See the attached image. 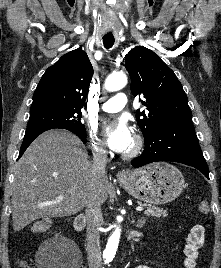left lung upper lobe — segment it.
<instances>
[{
    "mask_svg": "<svg viewBox=\"0 0 221 268\" xmlns=\"http://www.w3.org/2000/svg\"><path fill=\"white\" fill-rule=\"evenodd\" d=\"M125 67L131 77L132 94L145 99L142 104L146 112H136L145 140L161 125L192 123L188 98L180 81L157 54L137 46L126 55Z\"/></svg>",
    "mask_w": 221,
    "mask_h": 268,
    "instance_id": "1",
    "label": "left lung upper lobe"
}]
</instances>
